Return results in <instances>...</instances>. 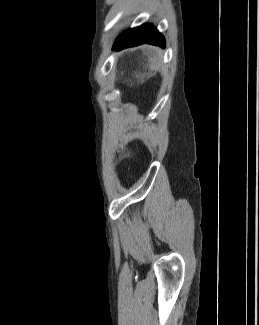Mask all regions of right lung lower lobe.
I'll use <instances>...</instances> for the list:
<instances>
[{
  "mask_svg": "<svg viewBox=\"0 0 259 325\" xmlns=\"http://www.w3.org/2000/svg\"><path fill=\"white\" fill-rule=\"evenodd\" d=\"M144 43L164 47L165 39L159 31L154 28L153 24H145L140 27L129 29L121 34L114 44V50L118 51Z\"/></svg>",
  "mask_w": 259,
  "mask_h": 325,
  "instance_id": "1",
  "label": "right lung lower lobe"
}]
</instances>
